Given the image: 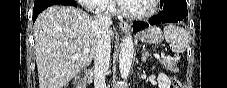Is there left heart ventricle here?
Listing matches in <instances>:
<instances>
[{
	"instance_id": "1",
	"label": "left heart ventricle",
	"mask_w": 227,
	"mask_h": 88,
	"mask_svg": "<svg viewBox=\"0 0 227 88\" xmlns=\"http://www.w3.org/2000/svg\"><path fill=\"white\" fill-rule=\"evenodd\" d=\"M151 7V0H132L124 3V9L132 13H146Z\"/></svg>"
}]
</instances>
